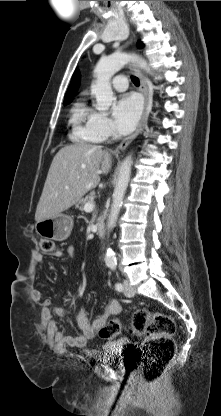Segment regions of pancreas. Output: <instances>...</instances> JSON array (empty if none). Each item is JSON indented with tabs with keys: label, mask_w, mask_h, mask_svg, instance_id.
Here are the masks:
<instances>
[{
	"label": "pancreas",
	"mask_w": 221,
	"mask_h": 416,
	"mask_svg": "<svg viewBox=\"0 0 221 416\" xmlns=\"http://www.w3.org/2000/svg\"><path fill=\"white\" fill-rule=\"evenodd\" d=\"M95 198V192L92 191L89 195L86 197L80 199L78 203L76 204V208H78L80 211L84 210V205L90 201H93Z\"/></svg>",
	"instance_id": "obj_1"
}]
</instances>
